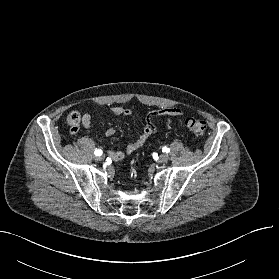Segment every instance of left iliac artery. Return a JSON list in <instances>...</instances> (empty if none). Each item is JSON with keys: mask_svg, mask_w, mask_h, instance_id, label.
<instances>
[{"mask_svg": "<svg viewBox=\"0 0 279 279\" xmlns=\"http://www.w3.org/2000/svg\"><path fill=\"white\" fill-rule=\"evenodd\" d=\"M162 151L168 153L170 149L168 147H163Z\"/></svg>", "mask_w": 279, "mask_h": 279, "instance_id": "1", "label": "left iliac artery"}]
</instances>
